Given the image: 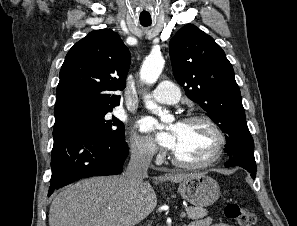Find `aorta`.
<instances>
[{"label": "aorta", "instance_id": "obj_1", "mask_svg": "<svg viewBox=\"0 0 297 226\" xmlns=\"http://www.w3.org/2000/svg\"><path fill=\"white\" fill-rule=\"evenodd\" d=\"M164 67V59L161 55H151L147 57L140 70V78L147 84H153L157 81ZM146 107L152 112L161 116V120H167V116L163 114L161 108L152 101L146 102Z\"/></svg>", "mask_w": 297, "mask_h": 226}]
</instances>
